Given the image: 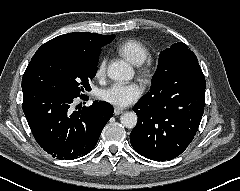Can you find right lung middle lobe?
<instances>
[{"instance_id":"1","label":"right lung middle lobe","mask_w":240,"mask_h":191,"mask_svg":"<svg viewBox=\"0 0 240 191\" xmlns=\"http://www.w3.org/2000/svg\"><path fill=\"white\" fill-rule=\"evenodd\" d=\"M98 56L43 51L31 59L22 78V90L47 89L76 98L90 90L97 72Z\"/></svg>"}]
</instances>
